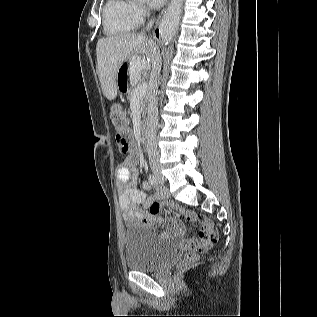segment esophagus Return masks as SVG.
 Masks as SVG:
<instances>
[{"instance_id": "esophagus-1", "label": "esophagus", "mask_w": 317, "mask_h": 317, "mask_svg": "<svg viewBox=\"0 0 317 317\" xmlns=\"http://www.w3.org/2000/svg\"><path fill=\"white\" fill-rule=\"evenodd\" d=\"M154 36L157 38H161L162 37V32L160 31V29L158 30L157 28L154 31Z\"/></svg>"}]
</instances>
